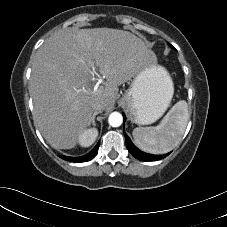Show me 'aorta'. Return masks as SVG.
Instances as JSON below:
<instances>
[{"label": "aorta", "mask_w": 227, "mask_h": 227, "mask_svg": "<svg viewBox=\"0 0 227 227\" xmlns=\"http://www.w3.org/2000/svg\"><path fill=\"white\" fill-rule=\"evenodd\" d=\"M108 122L112 127H119L123 122V117L119 112H113L109 115Z\"/></svg>", "instance_id": "1"}]
</instances>
